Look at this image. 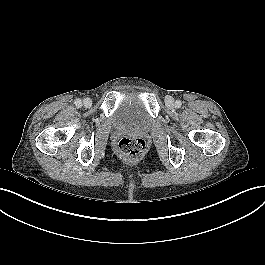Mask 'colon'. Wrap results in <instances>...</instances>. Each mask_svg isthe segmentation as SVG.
Listing matches in <instances>:
<instances>
[{
	"instance_id": "5ec220e1",
	"label": "colon",
	"mask_w": 265,
	"mask_h": 265,
	"mask_svg": "<svg viewBox=\"0 0 265 265\" xmlns=\"http://www.w3.org/2000/svg\"><path fill=\"white\" fill-rule=\"evenodd\" d=\"M146 141L139 137H124L117 143V151L128 158L140 157L146 152Z\"/></svg>"
}]
</instances>
